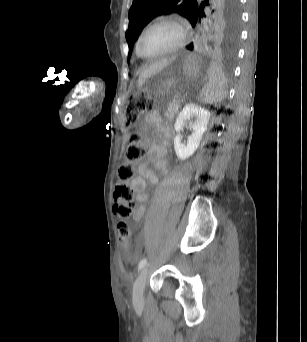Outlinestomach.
I'll use <instances>...</instances> for the list:
<instances>
[{
    "label": "stomach",
    "mask_w": 307,
    "mask_h": 342,
    "mask_svg": "<svg viewBox=\"0 0 307 342\" xmlns=\"http://www.w3.org/2000/svg\"><path fill=\"white\" fill-rule=\"evenodd\" d=\"M191 60L187 58H177L155 75L146 79L142 90L148 95L156 97L168 96L169 99L177 100L181 96V91L177 88V74L182 70L185 75H190Z\"/></svg>",
    "instance_id": "1"
}]
</instances>
